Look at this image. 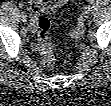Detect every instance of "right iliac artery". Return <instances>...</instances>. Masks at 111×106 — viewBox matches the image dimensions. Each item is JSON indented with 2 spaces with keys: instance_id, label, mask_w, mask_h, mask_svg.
I'll list each match as a JSON object with an SVG mask.
<instances>
[{
  "instance_id": "obj_1",
  "label": "right iliac artery",
  "mask_w": 111,
  "mask_h": 106,
  "mask_svg": "<svg viewBox=\"0 0 111 106\" xmlns=\"http://www.w3.org/2000/svg\"><path fill=\"white\" fill-rule=\"evenodd\" d=\"M20 7V13H21V16H27V13H26V11L24 10V9H22V7L21 6H19Z\"/></svg>"
}]
</instances>
